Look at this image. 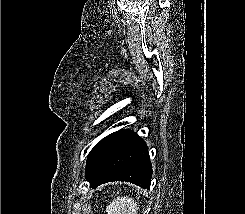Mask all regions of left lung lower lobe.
Wrapping results in <instances>:
<instances>
[{"instance_id":"obj_1","label":"left lung lower lobe","mask_w":245,"mask_h":214,"mask_svg":"<svg viewBox=\"0 0 245 214\" xmlns=\"http://www.w3.org/2000/svg\"><path fill=\"white\" fill-rule=\"evenodd\" d=\"M152 167L148 146L133 131L120 130L109 134L91 150L85 177L92 188L113 181L134 183L149 188Z\"/></svg>"}]
</instances>
